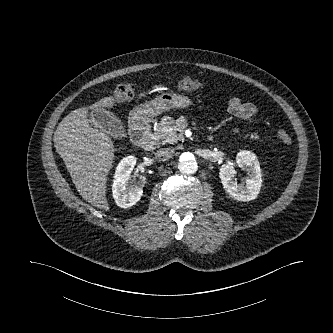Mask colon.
<instances>
[{"instance_id":"colon-1","label":"colon","mask_w":333,"mask_h":333,"mask_svg":"<svg viewBox=\"0 0 333 333\" xmlns=\"http://www.w3.org/2000/svg\"><path fill=\"white\" fill-rule=\"evenodd\" d=\"M200 82L192 77L185 76L178 81L176 84L177 89L183 91H193L198 89ZM135 87L132 84L124 83L116 87V89L111 93L112 97L118 101H126L134 96ZM277 139L284 145H290L292 143V138L288 132L285 130L277 131Z\"/></svg>"}]
</instances>
